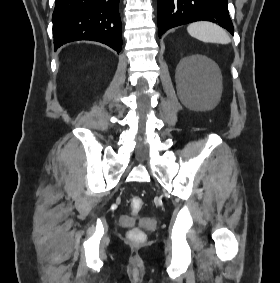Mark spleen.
<instances>
[{"label":"spleen","mask_w":280,"mask_h":283,"mask_svg":"<svg viewBox=\"0 0 280 283\" xmlns=\"http://www.w3.org/2000/svg\"><path fill=\"white\" fill-rule=\"evenodd\" d=\"M187 31L192 37L203 42L223 45L231 42L229 35L223 28L208 21L191 23L187 27Z\"/></svg>","instance_id":"spleen-1"}]
</instances>
